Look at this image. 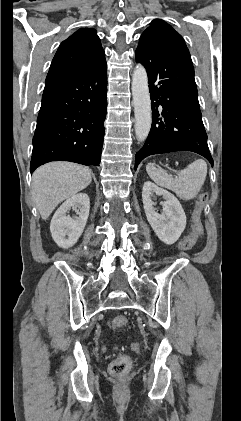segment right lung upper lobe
I'll return each instance as SVG.
<instances>
[{
  "label": "right lung upper lobe",
  "mask_w": 241,
  "mask_h": 421,
  "mask_svg": "<svg viewBox=\"0 0 241 421\" xmlns=\"http://www.w3.org/2000/svg\"><path fill=\"white\" fill-rule=\"evenodd\" d=\"M104 55L95 29L81 28L60 44L46 82L85 71L104 60Z\"/></svg>",
  "instance_id": "1"
}]
</instances>
